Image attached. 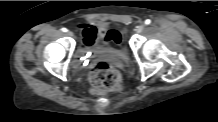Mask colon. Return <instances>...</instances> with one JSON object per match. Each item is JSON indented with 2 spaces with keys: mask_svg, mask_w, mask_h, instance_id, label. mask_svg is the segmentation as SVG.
I'll return each mask as SVG.
<instances>
[{
  "mask_svg": "<svg viewBox=\"0 0 218 122\" xmlns=\"http://www.w3.org/2000/svg\"><path fill=\"white\" fill-rule=\"evenodd\" d=\"M102 42L109 48L117 49L122 46L124 37L120 29L109 28L103 31ZM89 80L96 91H117L122 86L120 73L106 59L98 60L91 65Z\"/></svg>",
  "mask_w": 218,
  "mask_h": 122,
  "instance_id": "5ec220e1",
  "label": "colon"
}]
</instances>
